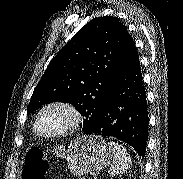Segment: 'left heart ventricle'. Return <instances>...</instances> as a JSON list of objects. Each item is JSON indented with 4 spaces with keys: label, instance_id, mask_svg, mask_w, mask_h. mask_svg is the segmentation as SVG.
<instances>
[{
    "label": "left heart ventricle",
    "instance_id": "1",
    "mask_svg": "<svg viewBox=\"0 0 183 179\" xmlns=\"http://www.w3.org/2000/svg\"><path fill=\"white\" fill-rule=\"evenodd\" d=\"M69 122V115L62 109L53 108L47 110L40 122L41 130L52 133L65 127Z\"/></svg>",
    "mask_w": 183,
    "mask_h": 179
}]
</instances>
